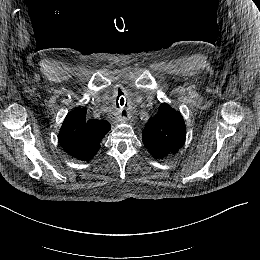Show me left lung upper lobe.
<instances>
[{
  "label": "left lung upper lobe",
  "instance_id": "5c2ea615",
  "mask_svg": "<svg viewBox=\"0 0 260 260\" xmlns=\"http://www.w3.org/2000/svg\"><path fill=\"white\" fill-rule=\"evenodd\" d=\"M186 136L182 115L163 103L142 131V141L154 158L164 159L176 154Z\"/></svg>",
  "mask_w": 260,
  "mask_h": 260
}]
</instances>
